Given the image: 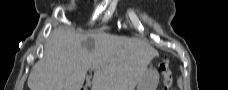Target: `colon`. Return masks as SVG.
I'll list each match as a JSON object with an SVG mask.
<instances>
[{"label": "colon", "instance_id": "5ec220e1", "mask_svg": "<svg viewBox=\"0 0 228 90\" xmlns=\"http://www.w3.org/2000/svg\"><path fill=\"white\" fill-rule=\"evenodd\" d=\"M162 78H163V89L171 90L173 84L172 73L170 70V62L168 59H163L159 65Z\"/></svg>", "mask_w": 228, "mask_h": 90}]
</instances>
